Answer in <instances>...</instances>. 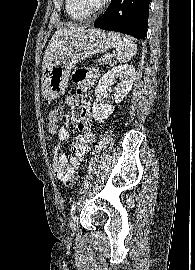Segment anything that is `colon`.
Here are the masks:
<instances>
[{
  "mask_svg": "<svg viewBox=\"0 0 195 270\" xmlns=\"http://www.w3.org/2000/svg\"><path fill=\"white\" fill-rule=\"evenodd\" d=\"M62 113H63L62 106H55L51 108L48 112L49 122H52V123L59 122L62 118ZM77 180H78V175L74 174L70 178L66 179L64 183L67 187H73L76 184Z\"/></svg>",
  "mask_w": 195,
  "mask_h": 270,
  "instance_id": "colon-1",
  "label": "colon"
}]
</instances>
